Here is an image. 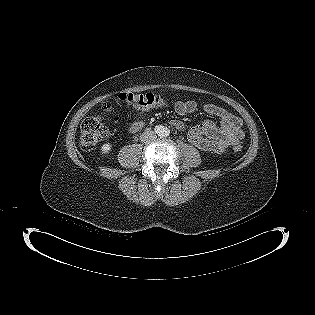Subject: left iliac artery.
Segmentation results:
<instances>
[{"label":"left iliac artery","instance_id":"1","mask_svg":"<svg viewBox=\"0 0 315 315\" xmlns=\"http://www.w3.org/2000/svg\"><path fill=\"white\" fill-rule=\"evenodd\" d=\"M169 135H170V130L167 129V128H164L163 131H162L161 136L167 137V136H169Z\"/></svg>","mask_w":315,"mask_h":315}]
</instances>
